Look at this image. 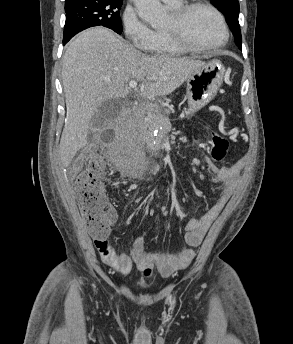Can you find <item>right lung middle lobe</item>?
<instances>
[{
  "mask_svg": "<svg viewBox=\"0 0 293 344\" xmlns=\"http://www.w3.org/2000/svg\"><path fill=\"white\" fill-rule=\"evenodd\" d=\"M123 0H79L65 3L66 22L63 43L75 34L93 26H104L118 34L122 32L119 14Z\"/></svg>",
  "mask_w": 293,
  "mask_h": 344,
  "instance_id": "1",
  "label": "right lung middle lobe"
}]
</instances>
